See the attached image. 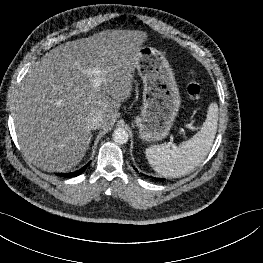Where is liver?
<instances>
[{
    "mask_svg": "<svg viewBox=\"0 0 263 263\" xmlns=\"http://www.w3.org/2000/svg\"><path fill=\"white\" fill-rule=\"evenodd\" d=\"M147 34L104 30L61 44L35 62L14 99L13 118L21 150L33 165L66 172L83 159L92 134L87 117L100 113L108 130L120 102L131 96L138 50ZM104 79L93 87L88 70Z\"/></svg>",
    "mask_w": 263,
    "mask_h": 263,
    "instance_id": "obj_1",
    "label": "liver"
}]
</instances>
